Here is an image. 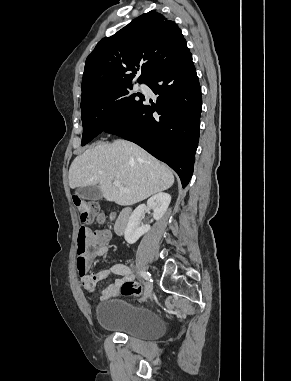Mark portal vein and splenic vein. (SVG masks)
I'll list each match as a JSON object with an SVG mask.
<instances>
[{"label":"portal vein and splenic vein","instance_id":"obj_1","mask_svg":"<svg viewBox=\"0 0 291 381\" xmlns=\"http://www.w3.org/2000/svg\"><path fill=\"white\" fill-rule=\"evenodd\" d=\"M113 184L119 187L121 190H126V188H124L118 180H114Z\"/></svg>","mask_w":291,"mask_h":381}]
</instances>
